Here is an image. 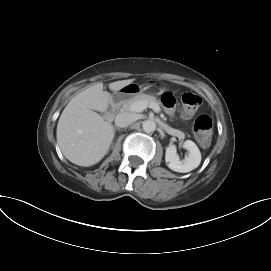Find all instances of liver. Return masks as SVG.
Instances as JSON below:
<instances>
[{
    "mask_svg": "<svg viewBox=\"0 0 271 271\" xmlns=\"http://www.w3.org/2000/svg\"><path fill=\"white\" fill-rule=\"evenodd\" d=\"M133 81H115L108 87L117 92ZM111 103L112 95L103 91V83L87 88L69 101L57 124V143L70 162L88 167L107 154L114 139V128L95 111L105 112Z\"/></svg>",
    "mask_w": 271,
    "mask_h": 271,
    "instance_id": "obj_1",
    "label": "liver"
}]
</instances>
